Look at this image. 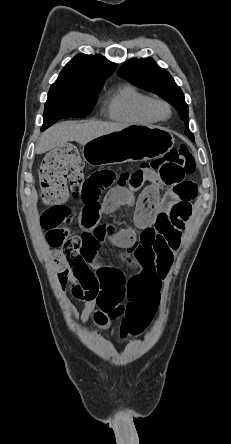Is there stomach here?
<instances>
[{
  "label": "stomach",
  "mask_w": 231,
  "mask_h": 444,
  "mask_svg": "<svg viewBox=\"0 0 231 444\" xmlns=\"http://www.w3.org/2000/svg\"><path fill=\"white\" fill-rule=\"evenodd\" d=\"M169 130L148 124H134L94 138L83 145L82 156L90 165L117 164L161 157L174 145Z\"/></svg>",
  "instance_id": "0dacf381"
}]
</instances>
